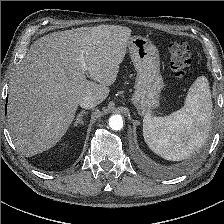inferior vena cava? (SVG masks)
<instances>
[{
	"label": "inferior vena cava",
	"mask_w": 224,
	"mask_h": 224,
	"mask_svg": "<svg viewBox=\"0 0 224 224\" xmlns=\"http://www.w3.org/2000/svg\"><path fill=\"white\" fill-rule=\"evenodd\" d=\"M79 105L84 109H92L97 105V101L92 96H84L79 100Z\"/></svg>",
	"instance_id": "602c4592"
}]
</instances>
